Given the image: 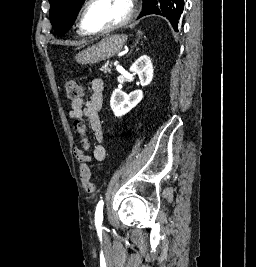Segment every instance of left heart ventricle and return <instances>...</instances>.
<instances>
[{
    "label": "left heart ventricle",
    "mask_w": 256,
    "mask_h": 267,
    "mask_svg": "<svg viewBox=\"0 0 256 267\" xmlns=\"http://www.w3.org/2000/svg\"><path fill=\"white\" fill-rule=\"evenodd\" d=\"M126 8L114 0H98L90 4L84 13L86 26L91 30H103L123 20Z\"/></svg>",
    "instance_id": "b2bd125f"
}]
</instances>
